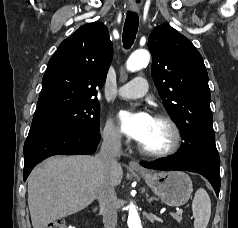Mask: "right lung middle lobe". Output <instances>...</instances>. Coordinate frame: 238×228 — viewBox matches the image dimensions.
<instances>
[{
	"instance_id": "1",
	"label": "right lung middle lobe",
	"mask_w": 238,
	"mask_h": 228,
	"mask_svg": "<svg viewBox=\"0 0 238 228\" xmlns=\"http://www.w3.org/2000/svg\"><path fill=\"white\" fill-rule=\"evenodd\" d=\"M32 125H62L99 132L100 104L97 100L80 102L50 114L33 118Z\"/></svg>"
}]
</instances>
